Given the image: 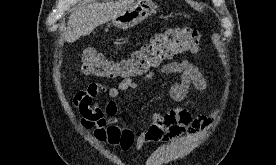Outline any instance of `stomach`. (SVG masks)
<instances>
[{
    "instance_id": "0dacf381",
    "label": "stomach",
    "mask_w": 276,
    "mask_h": 165,
    "mask_svg": "<svg viewBox=\"0 0 276 165\" xmlns=\"http://www.w3.org/2000/svg\"><path fill=\"white\" fill-rule=\"evenodd\" d=\"M158 6L152 0H137L134 5L118 15L112 23L118 29H128L141 23L144 19L157 12Z\"/></svg>"
}]
</instances>
